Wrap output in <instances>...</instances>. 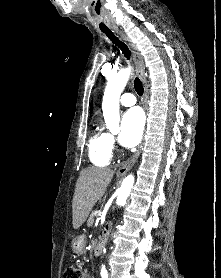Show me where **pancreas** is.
I'll use <instances>...</instances> for the list:
<instances>
[{"label": "pancreas", "mask_w": 221, "mask_h": 278, "mask_svg": "<svg viewBox=\"0 0 221 278\" xmlns=\"http://www.w3.org/2000/svg\"><path fill=\"white\" fill-rule=\"evenodd\" d=\"M98 215H96V211H93L88 219V224L92 225L94 223V218L97 217Z\"/></svg>", "instance_id": "1"}]
</instances>
